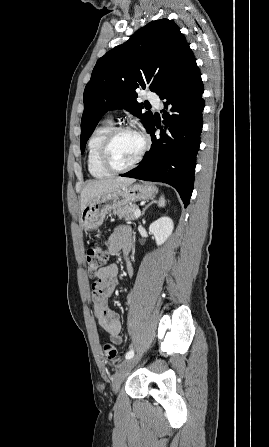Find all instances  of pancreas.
Listing matches in <instances>:
<instances>
[{"instance_id":"obj_1","label":"pancreas","mask_w":269,"mask_h":447,"mask_svg":"<svg viewBox=\"0 0 269 447\" xmlns=\"http://www.w3.org/2000/svg\"><path fill=\"white\" fill-rule=\"evenodd\" d=\"M135 208H137L136 204H128V206H123V208L115 210L113 214L114 216H118V218H124V220H136L134 216Z\"/></svg>"}]
</instances>
